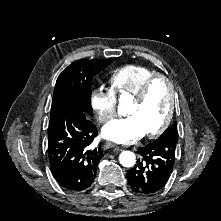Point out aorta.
Listing matches in <instances>:
<instances>
[{"instance_id":"1","label":"aorta","mask_w":221,"mask_h":221,"mask_svg":"<svg viewBox=\"0 0 221 221\" xmlns=\"http://www.w3.org/2000/svg\"><path fill=\"white\" fill-rule=\"evenodd\" d=\"M119 162L124 167H132L136 162L135 154L131 151H123L119 156Z\"/></svg>"}]
</instances>
